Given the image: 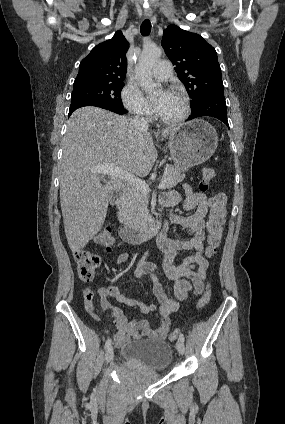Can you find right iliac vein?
<instances>
[{"label": "right iliac vein", "mask_w": 285, "mask_h": 424, "mask_svg": "<svg viewBox=\"0 0 285 424\" xmlns=\"http://www.w3.org/2000/svg\"><path fill=\"white\" fill-rule=\"evenodd\" d=\"M113 357H114V349H113L112 346H110L106 351L105 361L108 363V362L112 361Z\"/></svg>", "instance_id": "right-iliac-vein-1"}]
</instances>
